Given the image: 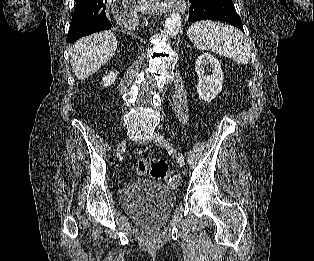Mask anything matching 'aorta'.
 <instances>
[{
  "instance_id": "aorta-1",
  "label": "aorta",
  "mask_w": 314,
  "mask_h": 261,
  "mask_svg": "<svg viewBox=\"0 0 314 261\" xmlns=\"http://www.w3.org/2000/svg\"><path fill=\"white\" fill-rule=\"evenodd\" d=\"M181 16L179 13H171L165 21V32L167 35L174 37L178 34L181 27Z\"/></svg>"
}]
</instances>
